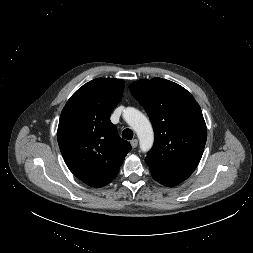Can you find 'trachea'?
<instances>
[{"label":"trachea","mask_w":253,"mask_h":253,"mask_svg":"<svg viewBox=\"0 0 253 253\" xmlns=\"http://www.w3.org/2000/svg\"><path fill=\"white\" fill-rule=\"evenodd\" d=\"M122 137L126 140H131L133 138V131L131 129H125L122 132Z\"/></svg>","instance_id":"1"}]
</instances>
